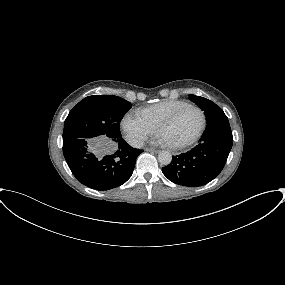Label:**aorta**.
<instances>
[{"mask_svg":"<svg viewBox=\"0 0 285 285\" xmlns=\"http://www.w3.org/2000/svg\"><path fill=\"white\" fill-rule=\"evenodd\" d=\"M158 161L160 162V164L162 165H169L172 161V155L170 152L168 151H160L158 154Z\"/></svg>","mask_w":285,"mask_h":285,"instance_id":"obj_1","label":"aorta"}]
</instances>
